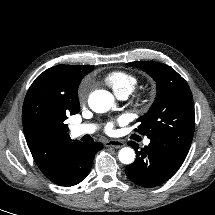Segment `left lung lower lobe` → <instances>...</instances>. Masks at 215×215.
<instances>
[{"label":"left lung lower lobe","mask_w":215,"mask_h":215,"mask_svg":"<svg viewBox=\"0 0 215 215\" xmlns=\"http://www.w3.org/2000/svg\"><path fill=\"white\" fill-rule=\"evenodd\" d=\"M128 144L135 149L137 157L134 163L126 166L125 172L142 187H154L166 182L177 172L187 155L155 140L139 151L135 142Z\"/></svg>","instance_id":"1"}]
</instances>
